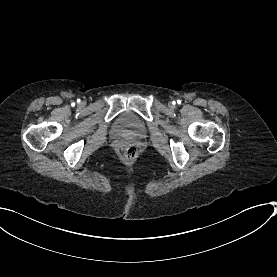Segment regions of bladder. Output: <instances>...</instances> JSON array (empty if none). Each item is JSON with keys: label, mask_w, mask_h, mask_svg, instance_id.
I'll list each match as a JSON object with an SVG mask.
<instances>
[{"label": "bladder", "mask_w": 277, "mask_h": 277, "mask_svg": "<svg viewBox=\"0 0 277 277\" xmlns=\"http://www.w3.org/2000/svg\"><path fill=\"white\" fill-rule=\"evenodd\" d=\"M113 130L117 137L140 139L147 134L148 127L140 115L124 111L115 118Z\"/></svg>", "instance_id": "31cf9c89"}]
</instances>
